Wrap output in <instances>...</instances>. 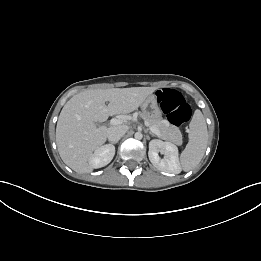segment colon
Here are the masks:
<instances>
[{"instance_id":"5ec220e1","label":"colon","mask_w":261,"mask_h":261,"mask_svg":"<svg viewBox=\"0 0 261 261\" xmlns=\"http://www.w3.org/2000/svg\"><path fill=\"white\" fill-rule=\"evenodd\" d=\"M156 96L163 112L172 124L180 126L190 119V106L180 92L164 88L158 90Z\"/></svg>"}]
</instances>
